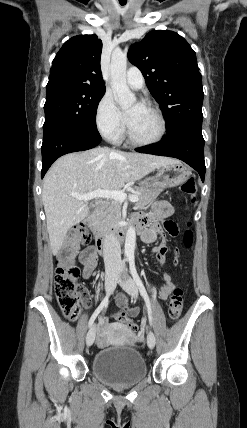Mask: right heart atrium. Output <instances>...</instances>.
I'll return each mask as SVG.
<instances>
[{"label":"right heart atrium","instance_id":"d8ad5b80","mask_svg":"<svg viewBox=\"0 0 247 428\" xmlns=\"http://www.w3.org/2000/svg\"><path fill=\"white\" fill-rule=\"evenodd\" d=\"M98 131L107 139L119 140L124 132V121L112 95L106 92L98 102L95 112Z\"/></svg>","mask_w":247,"mask_h":428}]
</instances>
